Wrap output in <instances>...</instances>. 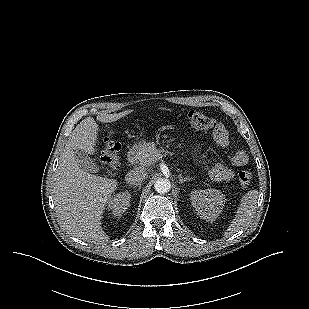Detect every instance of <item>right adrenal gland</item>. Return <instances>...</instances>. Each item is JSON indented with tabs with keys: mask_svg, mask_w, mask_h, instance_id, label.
<instances>
[{
	"mask_svg": "<svg viewBox=\"0 0 309 309\" xmlns=\"http://www.w3.org/2000/svg\"><path fill=\"white\" fill-rule=\"evenodd\" d=\"M130 186H132V185H130ZM137 186H139V187H138L139 189L141 188V186H140V185H135L134 187H137Z\"/></svg>",
	"mask_w": 309,
	"mask_h": 309,
	"instance_id": "1",
	"label": "right adrenal gland"
}]
</instances>
